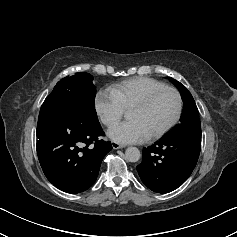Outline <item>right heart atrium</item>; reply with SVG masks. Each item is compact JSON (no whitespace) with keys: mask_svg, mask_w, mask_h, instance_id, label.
I'll return each instance as SVG.
<instances>
[{"mask_svg":"<svg viewBox=\"0 0 237 237\" xmlns=\"http://www.w3.org/2000/svg\"><path fill=\"white\" fill-rule=\"evenodd\" d=\"M95 109L101 122L108 127L114 125L124 112V106L111 88L103 89L97 93Z\"/></svg>","mask_w":237,"mask_h":237,"instance_id":"d8ad5b80","label":"right heart atrium"}]
</instances>
